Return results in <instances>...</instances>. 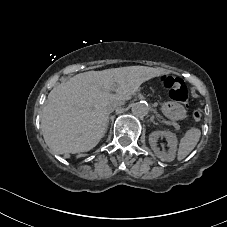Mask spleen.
<instances>
[{"instance_id":"obj_1","label":"spleen","mask_w":227,"mask_h":227,"mask_svg":"<svg viewBox=\"0 0 227 227\" xmlns=\"http://www.w3.org/2000/svg\"><path fill=\"white\" fill-rule=\"evenodd\" d=\"M200 136L201 131L197 128H191L185 133V136L180 140L177 153V159L179 161L183 160L195 148Z\"/></svg>"}]
</instances>
